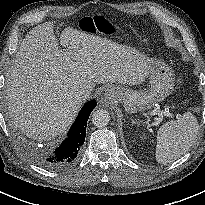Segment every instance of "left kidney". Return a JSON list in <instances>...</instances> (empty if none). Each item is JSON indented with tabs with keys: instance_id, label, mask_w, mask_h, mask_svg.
Segmentation results:
<instances>
[{
	"instance_id": "left-kidney-1",
	"label": "left kidney",
	"mask_w": 205,
	"mask_h": 205,
	"mask_svg": "<svg viewBox=\"0 0 205 205\" xmlns=\"http://www.w3.org/2000/svg\"><path fill=\"white\" fill-rule=\"evenodd\" d=\"M141 139H146V136L143 134L142 136H141Z\"/></svg>"
}]
</instances>
